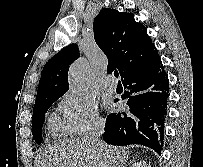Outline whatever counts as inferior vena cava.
I'll use <instances>...</instances> for the list:
<instances>
[{"label": "inferior vena cava", "instance_id": "1", "mask_svg": "<svg viewBox=\"0 0 203 167\" xmlns=\"http://www.w3.org/2000/svg\"><path fill=\"white\" fill-rule=\"evenodd\" d=\"M104 126L105 123L103 120L95 122L88 134L84 136V139H86L95 148H100L102 143L99 138L104 132Z\"/></svg>", "mask_w": 203, "mask_h": 167}]
</instances>
